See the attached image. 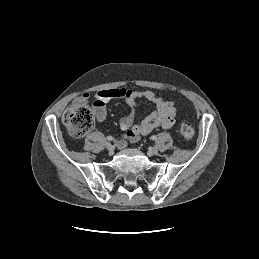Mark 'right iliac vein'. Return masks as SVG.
<instances>
[{
	"label": "right iliac vein",
	"mask_w": 259,
	"mask_h": 259,
	"mask_svg": "<svg viewBox=\"0 0 259 259\" xmlns=\"http://www.w3.org/2000/svg\"><path fill=\"white\" fill-rule=\"evenodd\" d=\"M105 146H106V148H107V150L109 151V152H112L113 151V146H112V144L111 143H109V142H107L106 144H105Z\"/></svg>",
	"instance_id": "1"
}]
</instances>
